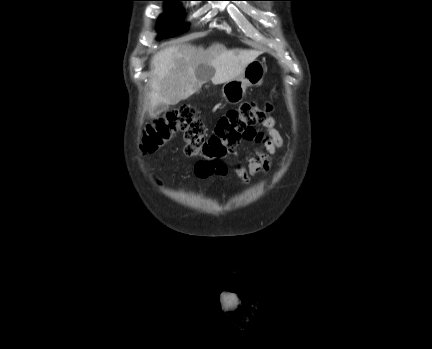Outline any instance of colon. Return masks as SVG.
Here are the masks:
<instances>
[{
  "label": "colon",
  "instance_id": "5ec220e1",
  "mask_svg": "<svg viewBox=\"0 0 432 349\" xmlns=\"http://www.w3.org/2000/svg\"><path fill=\"white\" fill-rule=\"evenodd\" d=\"M270 110V105L260 107L255 102H245L223 114L217 120L213 133L206 137L204 122L195 110L190 106L179 107L146 126L141 149L144 153H153L181 135L186 155L201 157L200 162L211 169L222 170L223 159L242 139L252 136L253 126L266 119Z\"/></svg>",
  "mask_w": 432,
  "mask_h": 349
}]
</instances>
